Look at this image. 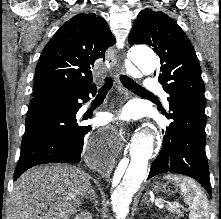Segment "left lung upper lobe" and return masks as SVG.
<instances>
[{
    "label": "left lung upper lobe",
    "mask_w": 221,
    "mask_h": 219,
    "mask_svg": "<svg viewBox=\"0 0 221 219\" xmlns=\"http://www.w3.org/2000/svg\"><path fill=\"white\" fill-rule=\"evenodd\" d=\"M130 45L146 44L160 58L155 72L169 104L178 102L205 112V86L195 50L186 34L161 11L142 10L129 35Z\"/></svg>",
    "instance_id": "obj_1"
}]
</instances>
